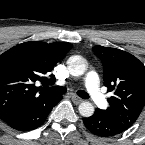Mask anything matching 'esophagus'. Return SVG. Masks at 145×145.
Listing matches in <instances>:
<instances>
[{
	"mask_svg": "<svg viewBox=\"0 0 145 145\" xmlns=\"http://www.w3.org/2000/svg\"><path fill=\"white\" fill-rule=\"evenodd\" d=\"M72 101L75 103V104H79L83 101L82 98L76 96V95H72Z\"/></svg>",
	"mask_w": 145,
	"mask_h": 145,
	"instance_id": "esophagus-1",
	"label": "esophagus"
}]
</instances>
